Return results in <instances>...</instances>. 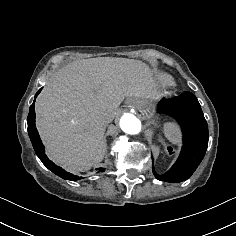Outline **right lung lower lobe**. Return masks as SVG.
Instances as JSON below:
<instances>
[{"label":"right lung lower lobe","instance_id":"98d812e1","mask_svg":"<svg viewBox=\"0 0 236 236\" xmlns=\"http://www.w3.org/2000/svg\"><path fill=\"white\" fill-rule=\"evenodd\" d=\"M42 89V88H41ZM41 89L36 93L33 104L30 106L29 109V114L27 118V123H28V134L31 139L33 148L39 157V159L42 161V163L49 169L51 170L54 174L58 175L59 177L71 181H76L81 179V177L75 176L73 174H70L66 171H64L61 167L56 166L52 161H50L47 156L45 155L44 151V145L41 142V139L39 137L38 131L35 126V110H34V104H35V99L37 95L40 93ZM99 172L104 171V168H98L97 169Z\"/></svg>","mask_w":236,"mask_h":236}]
</instances>
